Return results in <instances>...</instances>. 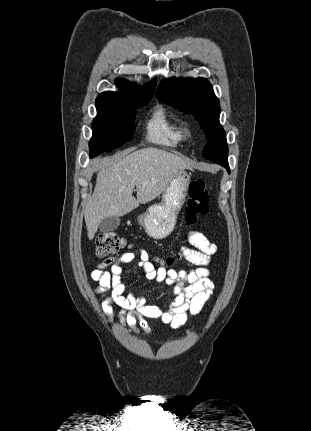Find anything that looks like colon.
Returning a JSON list of instances; mask_svg holds the SVG:
<instances>
[{
    "mask_svg": "<svg viewBox=\"0 0 311 431\" xmlns=\"http://www.w3.org/2000/svg\"><path fill=\"white\" fill-rule=\"evenodd\" d=\"M209 191L207 183L203 178H195L188 185V199L185 209V223L189 228L193 226L201 217L208 213ZM125 246V240L114 232H106L97 238L96 255L100 258L107 257L120 251ZM181 253L169 255L165 258L167 265H173L183 255Z\"/></svg>",
    "mask_w": 311,
    "mask_h": 431,
    "instance_id": "obj_1",
    "label": "colon"
}]
</instances>
